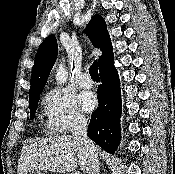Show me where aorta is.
Returning <instances> with one entry per match:
<instances>
[{"instance_id": "1", "label": "aorta", "mask_w": 175, "mask_h": 174, "mask_svg": "<svg viewBox=\"0 0 175 174\" xmlns=\"http://www.w3.org/2000/svg\"><path fill=\"white\" fill-rule=\"evenodd\" d=\"M56 80L59 84L65 83L67 81V72L62 64L59 65L56 70Z\"/></svg>"}]
</instances>
